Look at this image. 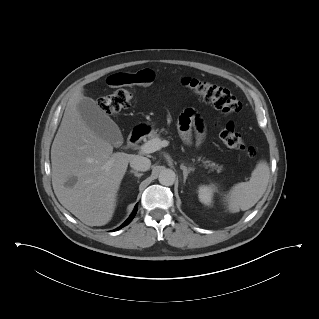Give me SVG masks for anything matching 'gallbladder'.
<instances>
[{
	"label": "gallbladder",
	"mask_w": 319,
	"mask_h": 319,
	"mask_svg": "<svg viewBox=\"0 0 319 319\" xmlns=\"http://www.w3.org/2000/svg\"><path fill=\"white\" fill-rule=\"evenodd\" d=\"M77 110L85 124L100 138L114 146H121L123 136L117 124L91 98L84 97Z\"/></svg>",
	"instance_id": "1"
}]
</instances>
